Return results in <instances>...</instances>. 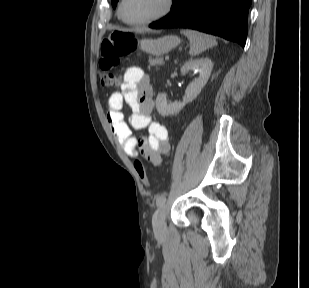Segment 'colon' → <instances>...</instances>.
I'll return each mask as SVG.
<instances>
[{
  "label": "colon",
  "instance_id": "obj_1",
  "mask_svg": "<svg viewBox=\"0 0 309 288\" xmlns=\"http://www.w3.org/2000/svg\"><path fill=\"white\" fill-rule=\"evenodd\" d=\"M135 48L136 39L128 31H115L102 41L99 58L101 71L99 83L101 86L109 87L114 84V70L118 67L121 59L131 54ZM134 167L144 184L149 186L144 164L140 160H136Z\"/></svg>",
  "mask_w": 309,
  "mask_h": 288
}]
</instances>
